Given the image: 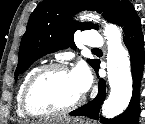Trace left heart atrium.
<instances>
[{
	"mask_svg": "<svg viewBox=\"0 0 145 124\" xmlns=\"http://www.w3.org/2000/svg\"><path fill=\"white\" fill-rule=\"evenodd\" d=\"M71 75L79 91L82 94L85 93L89 89L91 83V76L87 68L81 64L71 72Z\"/></svg>",
	"mask_w": 145,
	"mask_h": 124,
	"instance_id": "left-heart-atrium-1",
	"label": "left heart atrium"
}]
</instances>
